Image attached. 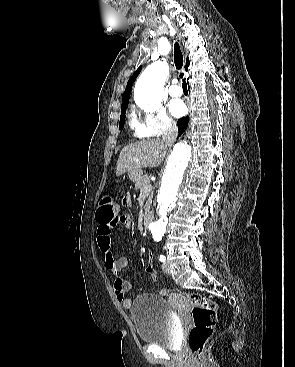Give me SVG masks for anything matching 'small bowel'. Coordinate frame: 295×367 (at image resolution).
<instances>
[{"label": "small bowel", "instance_id": "obj_1", "mask_svg": "<svg viewBox=\"0 0 295 367\" xmlns=\"http://www.w3.org/2000/svg\"><path fill=\"white\" fill-rule=\"evenodd\" d=\"M122 203L124 206H129L131 203L130 196H124ZM119 224L128 229L131 228V217L127 214H124L106 223L98 221L97 244L104 256L105 267L115 276L113 282V291L117 300L124 308H130L132 301L126 297V293L130 291L134 285L132 281L123 278L120 275L121 272L128 267V260L126 257L115 258L112 251L111 234L113 229Z\"/></svg>", "mask_w": 295, "mask_h": 367}]
</instances>
